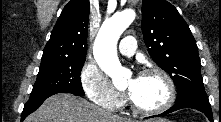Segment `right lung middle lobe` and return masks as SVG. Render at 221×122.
I'll return each instance as SVG.
<instances>
[{
	"label": "right lung middle lobe",
	"instance_id": "obj_1",
	"mask_svg": "<svg viewBox=\"0 0 221 122\" xmlns=\"http://www.w3.org/2000/svg\"><path fill=\"white\" fill-rule=\"evenodd\" d=\"M83 59L42 60L30 97L55 91H72L84 95L80 73Z\"/></svg>",
	"mask_w": 221,
	"mask_h": 122
}]
</instances>
